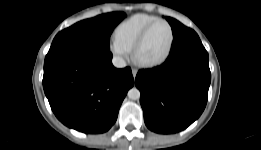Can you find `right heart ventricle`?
Instances as JSON below:
<instances>
[{"instance_id":"obj_1","label":"right heart ventricle","mask_w":261,"mask_h":150,"mask_svg":"<svg viewBox=\"0 0 261 150\" xmlns=\"http://www.w3.org/2000/svg\"><path fill=\"white\" fill-rule=\"evenodd\" d=\"M159 19L157 16L137 13L119 23L114 30V38L129 50H132L144 28Z\"/></svg>"}]
</instances>
